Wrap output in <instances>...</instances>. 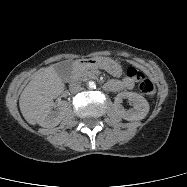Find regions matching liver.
Segmentation results:
<instances>
[{"instance_id": "obj_1", "label": "liver", "mask_w": 187, "mask_h": 187, "mask_svg": "<svg viewBox=\"0 0 187 187\" xmlns=\"http://www.w3.org/2000/svg\"><path fill=\"white\" fill-rule=\"evenodd\" d=\"M65 85L54 65L38 70L19 98L20 111L32 125L38 123L53 99L64 91Z\"/></svg>"}]
</instances>
